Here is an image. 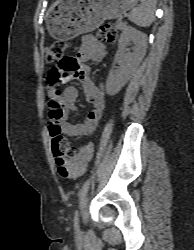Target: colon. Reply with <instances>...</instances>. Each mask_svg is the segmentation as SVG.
<instances>
[{"label":"colon","mask_w":194,"mask_h":250,"mask_svg":"<svg viewBox=\"0 0 194 250\" xmlns=\"http://www.w3.org/2000/svg\"><path fill=\"white\" fill-rule=\"evenodd\" d=\"M98 37L100 40L107 43H114L117 40L118 32L114 25L107 23L98 29ZM68 48V43L65 41H54L48 44L45 48V56L49 62L64 61L63 55ZM64 81L63 75L55 70H51L48 74L47 82L50 88L55 90L54 95L60 96L61 92L58 89ZM58 106H62L61 102L57 103ZM52 151L55 161L58 165V171L62 177H68L70 170L67 167V162L74 159L78 151L71 146L69 141L61 134L55 133L52 135Z\"/></svg>","instance_id":"obj_1"}]
</instances>
